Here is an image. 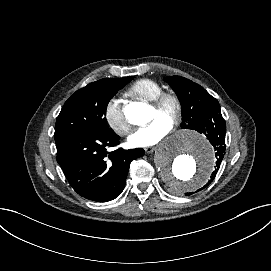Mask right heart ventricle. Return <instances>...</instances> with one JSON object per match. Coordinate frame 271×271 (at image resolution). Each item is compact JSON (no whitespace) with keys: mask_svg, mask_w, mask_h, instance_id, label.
I'll use <instances>...</instances> for the list:
<instances>
[{"mask_svg":"<svg viewBox=\"0 0 271 271\" xmlns=\"http://www.w3.org/2000/svg\"><path fill=\"white\" fill-rule=\"evenodd\" d=\"M128 92L146 102H153L154 99L163 92V86L150 78H142L134 82Z\"/></svg>","mask_w":271,"mask_h":271,"instance_id":"obj_1","label":"right heart ventricle"}]
</instances>
